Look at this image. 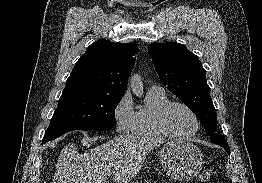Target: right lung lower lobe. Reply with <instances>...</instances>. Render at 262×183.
Listing matches in <instances>:
<instances>
[{
	"instance_id": "right-lung-lower-lobe-1",
	"label": "right lung lower lobe",
	"mask_w": 262,
	"mask_h": 183,
	"mask_svg": "<svg viewBox=\"0 0 262 183\" xmlns=\"http://www.w3.org/2000/svg\"><path fill=\"white\" fill-rule=\"evenodd\" d=\"M46 142H47V141H44V140H43V141H42V144H44V143H46Z\"/></svg>"
}]
</instances>
